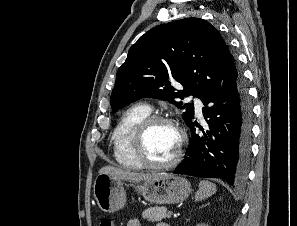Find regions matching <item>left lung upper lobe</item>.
<instances>
[{
	"instance_id": "left-lung-upper-lobe-1",
	"label": "left lung upper lobe",
	"mask_w": 297,
	"mask_h": 226,
	"mask_svg": "<svg viewBox=\"0 0 297 226\" xmlns=\"http://www.w3.org/2000/svg\"><path fill=\"white\" fill-rule=\"evenodd\" d=\"M241 74L220 33L209 22L187 18L159 25L130 48L111 94L113 111L143 97L170 101L194 116L193 104L177 101L210 87L236 86ZM181 84L184 89H179Z\"/></svg>"
}]
</instances>
